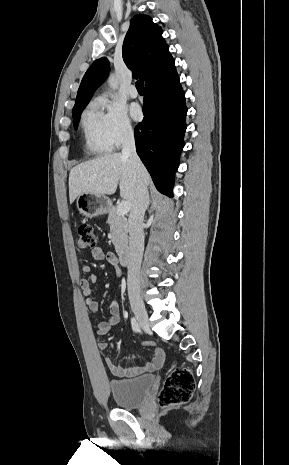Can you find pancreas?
Here are the masks:
<instances>
[{"instance_id":"cf45deb5","label":"pancreas","mask_w":289,"mask_h":465,"mask_svg":"<svg viewBox=\"0 0 289 465\" xmlns=\"http://www.w3.org/2000/svg\"><path fill=\"white\" fill-rule=\"evenodd\" d=\"M107 223L110 225L111 240L116 252L120 253L128 245V223L124 216L117 213V207L109 210Z\"/></svg>"}]
</instances>
